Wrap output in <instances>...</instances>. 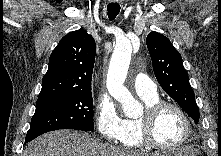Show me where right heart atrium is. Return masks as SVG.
<instances>
[{
    "label": "right heart atrium",
    "instance_id": "obj_1",
    "mask_svg": "<svg viewBox=\"0 0 221 156\" xmlns=\"http://www.w3.org/2000/svg\"><path fill=\"white\" fill-rule=\"evenodd\" d=\"M94 121L100 136L108 142L119 141L123 132V119L120 117L112 98L101 92L98 96Z\"/></svg>",
    "mask_w": 221,
    "mask_h": 156
}]
</instances>
